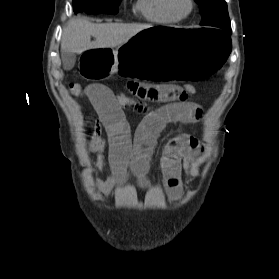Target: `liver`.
<instances>
[{
	"label": "liver",
	"instance_id": "obj_1",
	"mask_svg": "<svg viewBox=\"0 0 279 279\" xmlns=\"http://www.w3.org/2000/svg\"><path fill=\"white\" fill-rule=\"evenodd\" d=\"M150 27L148 24H95L85 18L73 19L63 29L61 51L81 54L93 49L115 48ZM91 37L95 40L91 41Z\"/></svg>",
	"mask_w": 279,
	"mask_h": 279
}]
</instances>
